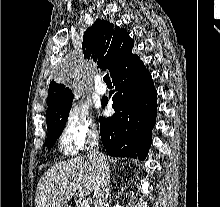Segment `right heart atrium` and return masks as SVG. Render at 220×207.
I'll return each instance as SVG.
<instances>
[{"label": "right heart atrium", "mask_w": 220, "mask_h": 207, "mask_svg": "<svg viewBox=\"0 0 220 207\" xmlns=\"http://www.w3.org/2000/svg\"><path fill=\"white\" fill-rule=\"evenodd\" d=\"M99 137L98 129L87 113L72 110L65 118L60 132V146L65 152L78 153Z\"/></svg>", "instance_id": "d8ad5b80"}]
</instances>
